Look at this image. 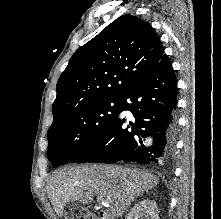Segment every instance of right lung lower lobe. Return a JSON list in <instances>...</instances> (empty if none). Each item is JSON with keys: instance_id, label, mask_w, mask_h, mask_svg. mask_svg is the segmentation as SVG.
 Returning a JSON list of instances; mask_svg holds the SVG:
<instances>
[{"instance_id": "98d812e1", "label": "right lung lower lobe", "mask_w": 221, "mask_h": 219, "mask_svg": "<svg viewBox=\"0 0 221 219\" xmlns=\"http://www.w3.org/2000/svg\"><path fill=\"white\" fill-rule=\"evenodd\" d=\"M121 109L104 134L72 163L169 162L175 152L177 82L166 55L122 95ZM128 110L134 122L123 118Z\"/></svg>"}]
</instances>
